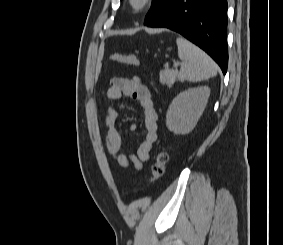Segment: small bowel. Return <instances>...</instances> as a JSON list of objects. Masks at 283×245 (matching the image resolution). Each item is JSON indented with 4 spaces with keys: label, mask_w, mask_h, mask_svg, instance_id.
I'll use <instances>...</instances> for the list:
<instances>
[{
    "label": "small bowel",
    "mask_w": 283,
    "mask_h": 245,
    "mask_svg": "<svg viewBox=\"0 0 283 245\" xmlns=\"http://www.w3.org/2000/svg\"><path fill=\"white\" fill-rule=\"evenodd\" d=\"M123 97L136 100L143 112L144 136L135 154L124 153L122 134L117 128L118 110L115 104ZM107 98L110 102V107L104 117L106 148L122 168H128L132 165L136 170H141L143 163L150 159L151 149L158 137L159 116L151 93L138 77H114L110 81ZM129 129L139 134L136 124H130Z\"/></svg>",
    "instance_id": "c3829d8e"
}]
</instances>
